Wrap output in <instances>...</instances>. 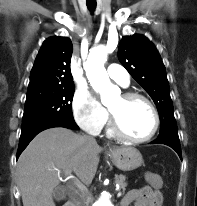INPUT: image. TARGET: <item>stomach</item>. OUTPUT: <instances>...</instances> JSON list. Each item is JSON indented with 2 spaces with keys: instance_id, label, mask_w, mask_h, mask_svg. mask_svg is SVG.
I'll use <instances>...</instances> for the list:
<instances>
[{
  "instance_id": "1",
  "label": "stomach",
  "mask_w": 197,
  "mask_h": 206,
  "mask_svg": "<svg viewBox=\"0 0 197 206\" xmlns=\"http://www.w3.org/2000/svg\"><path fill=\"white\" fill-rule=\"evenodd\" d=\"M112 162L122 171H131L143 164V157L134 147H122L109 152Z\"/></svg>"
}]
</instances>
